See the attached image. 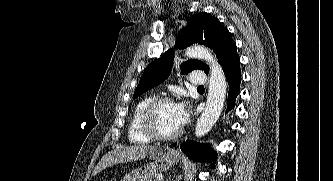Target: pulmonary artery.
<instances>
[{"label": "pulmonary artery", "instance_id": "e3ab8cb5", "mask_svg": "<svg viewBox=\"0 0 333 181\" xmlns=\"http://www.w3.org/2000/svg\"><path fill=\"white\" fill-rule=\"evenodd\" d=\"M207 77L206 74L202 71H196L192 73L190 82L192 85L200 86L206 84Z\"/></svg>", "mask_w": 333, "mask_h": 181}]
</instances>
